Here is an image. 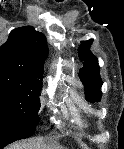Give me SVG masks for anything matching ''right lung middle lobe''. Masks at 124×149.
I'll return each mask as SVG.
<instances>
[{"mask_svg": "<svg viewBox=\"0 0 124 149\" xmlns=\"http://www.w3.org/2000/svg\"><path fill=\"white\" fill-rule=\"evenodd\" d=\"M41 87H31L0 74V132H22L40 121Z\"/></svg>", "mask_w": 124, "mask_h": 149, "instance_id": "1", "label": "right lung middle lobe"}]
</instances>
